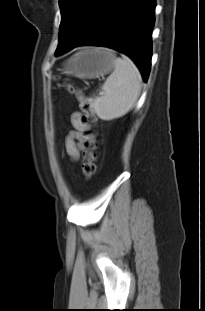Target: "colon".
<instances>
[{"label":"colon","mask_w":205,"mask_h":311,"mask_svg":"<svg viewBox=\"0 0 205 311\" xmlns=\"http://www.w3.org/2000/svg\"><path fill=\"white\" fill-rule=\"evenodd\" d=\"M65 89L76 96L79 101V106L82 111V123L87 130L85 131V142L83 152L82 171L85 178L90 179L96 172V159H97V140L95 127L97 125V116L94 112L90 98L73 84H64Z\"/></svg>","instance_id":"obj_1"}]
</instances>
